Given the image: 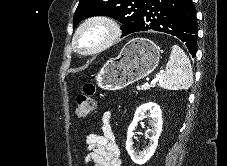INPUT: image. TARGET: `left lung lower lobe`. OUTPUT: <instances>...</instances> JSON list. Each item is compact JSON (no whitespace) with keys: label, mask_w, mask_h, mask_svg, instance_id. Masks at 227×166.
Listing matches in <instances>:
<instances>
[{"label":"left lung lower lobe","mask_w":227,"mask_h":166,"mask_svg":"<svg viewBox=\"0 0 227 166\" xmlns=\"http://www.w3.org/2000/svg\"><path fill=\"white\" fill-rule=\"evenodd\" d=\"M148 30L178 37L196 55L198 29L192 0H147L134 32Z\"/></svg>","instance_id":"left-lung-lower-lobe-1"}]
</instances>
